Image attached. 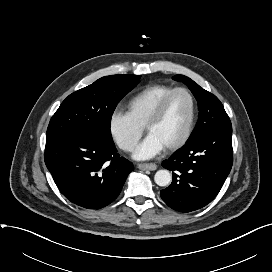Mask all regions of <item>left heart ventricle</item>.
Returning a JSON list of instances; mask_svg holds the SVG:
<instances>
[{
	"instance_id": "b2bd125f",
	"label": "left heart ventricle",
	"mask_w": 272,
	"mask_h": 272,
	"mask_svg": "<svg viewBox=\"0 0 272 272\" xmlns=\"http://www.w3.org/2000/svg\"><path fill=\"white\" fill-rule=\"evenodd\" d=\"M190 114V99L186 94L178 93L169 102L161 119L148 132L155 135L166 148L183 136Z\"/></svg>"
}]
</instances>
